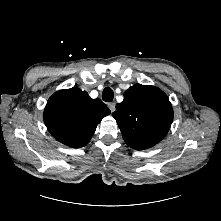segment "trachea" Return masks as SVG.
Listing matches in <instances>:
<instances>
[{
    "mask_svg": "<svg viewBox=\"0 0 221 221\" xmlns=\"http://www.w3.org/2000/svg\"><path fill=\"white\" fill-rule=\"evenodd\" d=\"M114 98V92L111 88L106 87L102 92V99L105 102H111Z\"/></svg>",
    "mask_w": 221,
    "mask_h": 221,
    "instance_id": "trachea-1",
    "label": "trachea"
}]
</instances>
